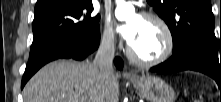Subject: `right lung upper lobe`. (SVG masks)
I'll return each mask as SVG.
<instances>
[{"mask_svg": "<svg viewBox=\"0 0 221 102\" xmlns=\"http://www.w3.org/2000/svg\"><path fill=\"white\" fill-rule=\"evenodd\" d=\"M44 1H46V0H37V3H36V4L42 3V2H44Z\"/></svg>", "mask_w": 221, "mask_h": 102, "instance_id": "1", "label": "right lung upper lobe"}]
</instances>
